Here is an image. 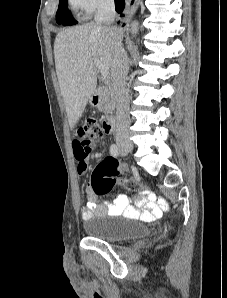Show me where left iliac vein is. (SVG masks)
<instances>
[{
	"label": "left iliac vein",
	"instance_id": "1",
	"mask_svg": "<svg viewBox=\"0 0 227 298\" xmlns=\"http://www.w3.org/2000/svg\"><path fill=\"white\" fill-rule=\"evenodd\" d=\"M121 155H122V156H125V155H126V152L123 151V150H121Z\"/></svg>",
	"mask_w": 227,
	"mask_h": 298
}]
</instances>
